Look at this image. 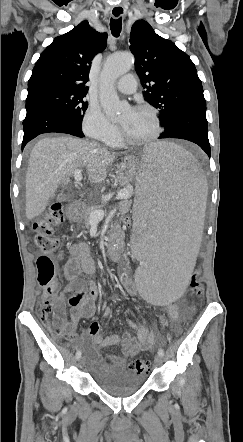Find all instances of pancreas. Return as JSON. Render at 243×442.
Returning <instances> with one entry per match:
<instances>
[{
  "instance_id": "cf45deb5",
  "label": "pancreas",
  "mask_w": 243,
  "mask_h": 442,
  "mask_svg": "<svg viewBox=\"0 0 243 442\" xmlns=\"http://www.w3.org/2000/svg\"><path fill=\"white\" fill-rule=\"evenodd\" d=\"M130 205H131V202L128 200H125V201L119 203V211L122 213L127 212L130 208ZM96 209H97V207H89L85 210L84 224H85L86 228H89V226H90V214Z\"/></svg>"
}]
</instances>
